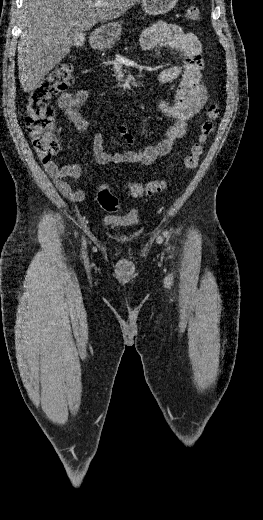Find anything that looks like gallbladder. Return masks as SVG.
Instances as JSON below:
<instances>
[{"mask_svg":"<svg viewBox=\"0 0 263 520\" xmlns=\"http://www.w3.org/2000/svg\"><path fill=\"white\" fill-rule=\"evenodd\" d=\"M69 36L72 39L74 46H79L80 45L79 43H77L78 37H79V31H78L77 28H72L70 30V32H69Z\"/></svg>","mask_w":263,"mask_h":520,"instance_id":"bac80fb5","label":"gallbladder"}]
</instances>
